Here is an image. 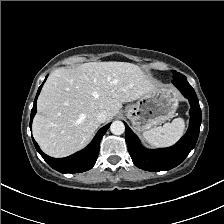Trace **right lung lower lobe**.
<instances>
[{
	"label": "right lung lower lobe",
	"mask_w": 224,
	"mask_h": 224,
	"mask_svg": "<svg viewBox=\"0 0 224 224\" xmlns=\"http://www.w3.org/2000/svg\"><path fill=\"white\" fill-rule=\"evenodd\" d=\"M47 78V76H46ZM45 78V80H46ZM44 80V82H45ZM43 82V83H44ZM42 83V85H43ZM42 85L39 87L36 98L34 100V105L31 111V118H30V128L32 124L33 117L36 113V101L38 98V95L41 91ZM111 123L107 124L106 126L102 127L95 137L93 138L92 142L83 150L65 157V158H52L44 154L36 141L33 139V143L35 145V148L40 153V155L43 157V159L55 170L61 172V173H80L87 171L91 169L98 157L99 153V143L104 135V133L107 131Z\"/></svg>",
	"instance_id": "98d812e1"
}]
</instances>
